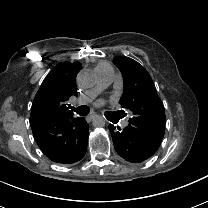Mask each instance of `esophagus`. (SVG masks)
<instances>
[{
    "label": "esophagus",
    "mask_w": 208,
    "mask_h": 208,
    "mask_svg": "<svg viewBox=\"0 0 208 208\" xmlns=\"http://www.w3.org/2000/svg\"><path fill=\"white\" fill-rule=\"evenodd\" d=\"M97 116V114H91V115H89V116H87V121H92L95 117Z\"/></svg>",
    "instance_id": "34e87169"
}]
</instances>
